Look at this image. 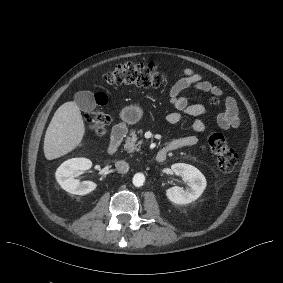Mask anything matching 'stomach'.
<instances>
[{"label": "stomach", "instance_id": "obj_1", "mask_svg": "<svg viewBox=\"0 0 283 283\" xmlns=\"http://www.w3.org/2000/svg\"><path fill=\"white\" fill-rule=\"evenodd\" d=\"M143 117V111L136 105H129L120 111V119L127 125L137 124Z\"/></svg>", "mask_w": 283, "mask_h": 283}]
</instances>
